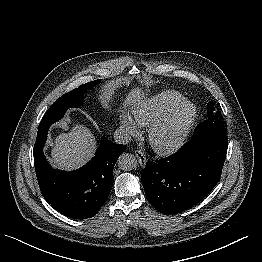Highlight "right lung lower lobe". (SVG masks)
I'll use <instances>...</instances> for the list:
<instances>
[{
    "instance_id": "obj_1",
    "label": "right lung lower lobe",
    "mask_w": 262,
    "mask_h": 262,
    "mask_svg": "<svg viewBox=\"0 0 262 262\" xmlns=\"http://www.w3.org/2000/svg\"><path fill=\"white\" fill-rule=\"evenodd\" d=\"M52 121L39 124L34 146V164L41 193L62 214L74 219L93 217L106 202L113 186V169L125 145L102 138L96 155L85 166L72 172L53 170L43 146Z\"/></svg>"
}]
</instances>
